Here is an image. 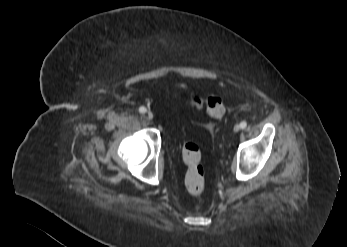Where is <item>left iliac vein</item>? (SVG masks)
Returning <instances> with one entry per match:
<instances>
[{
  "instance_id": "4c4485c4",
  "label": "left iliac vein",
  "mask_w": 347,
  "mask_h": 247,
  "mask_svg": "<svg viewBox=\"0 0 347 247\" xmlns=\"http://www.w3.org/2000/svg\"><path fill=\"white\" fill-rule=\"evenodd\" d=\"M241 129L240 125H235L233 130L234 132H238Z\"/></svg>"
}]
</instances>
